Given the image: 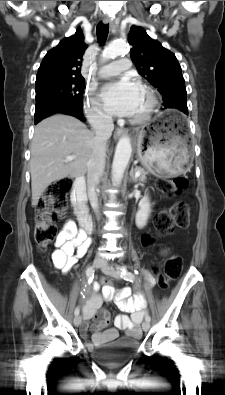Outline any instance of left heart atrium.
Instances as JSON below:
<instances>
[{
    "instance_id": "obj_1",
    "label": "left heart atrium",
    "mask_w": 225,
    "mask_h": 395,
    "mask_svg": "<svg viewBox=\"0 0 225 395\" xmlns=\"http://www.w3.org/2000/svg\"><path fill=\"white\" fill-rule=\"evenodd\" d=\"M141 88L133 80L124 77L105 85L100 93L106 110L117 116H133L136 111Z\"/></svg>"
}]
</instances>
